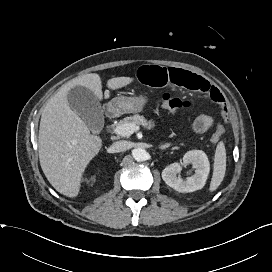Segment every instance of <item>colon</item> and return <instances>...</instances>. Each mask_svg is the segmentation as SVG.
I'll use <instances>...</instances> for the list:
<instances>
[{
  "instance_id": "5ec220e1",
  "label": "colon",
  "mask_w": 272,
  "mask_h": 272,
  "mask_svg": "<svg viewBox=\"0 0 272 272\" xmlns=\"http://www.w3.org/2000/svg\"><path fill=\"white\" fill-rule=\"evenodd\" d=\"M159 106L161 109L168 111V112H175L181 108H186L190 106L188 101L182 100L180 98L174 97L169 93H165L160 102ZM224 128L220 125L216 127L215 132L212 135V141L218 142L224 135Z\"/></svg>"
}]
</instances>
